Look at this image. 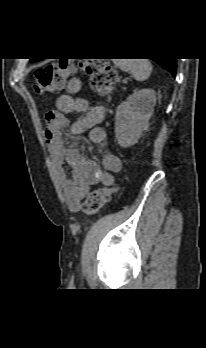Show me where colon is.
<instances>
[{
	"instance_id": "5ec220e1",
	"label": "colon",
	"mask_w": 206,
	"mask_h": 348,
	"mask_svg": "<svg viewBox=\"0 0 206 348\" xmlns=\"http://www.w3.org/2000/svg\"><path fill=\"white\" fill-rule=\"evenodd\" d=\"M79 70L89 76L91 88L100 95L108 94L117 82V73L107 60L102 58H85L78 60ZM76 71L73 60L60 59L55 63L39 68L34 73L33 87L38 94L53 93L60 89L67 78ZM116 188L99 187L92 191L83 204L86 215H94L107 204Z\"/></svg>"
}]
</instances>
